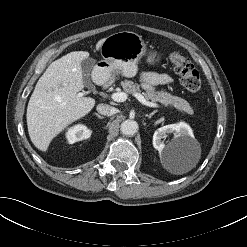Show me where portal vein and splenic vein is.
<instances>
[{
	"instance_id": "obj_1",
	"label": "portal vein and splenic vein",
	"mask_w": 247,
	"mask_h": 247,
	"mask_svg": "<svg viewBox=\"0 0 247 247\" xmlns=\"http://www.w3.org/2000/svg\"><path fill=\"white\" fill-rule=\"evenodd\" d=\"M134 96L136 97V99L142 103L145 106L148 107H153V108H157L159 107V105L157 103L154 102H150L148 100L145 99V97L143 95H141L140 93H135ZM111 98L115 101V102H124L127 100L128 95L125 92H115L111 95Z\"/></svg>"
}]
</instances>
